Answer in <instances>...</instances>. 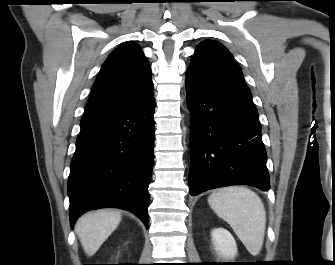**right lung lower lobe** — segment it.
<instances>
[{
    "label": "right lung lower lobe",
    "instance_id": "1",
    "mask_svg": "<svg viewBox=\"0 0 335 265\" xmlns=\"http://www.w3.org/2000/svg\"><path fill=\"white\" fill-rule=\"evenodd\" d=\"M154 98L83 115L70 165V222L84 212L116 207L135 213L148 228L153 166Z\"/></svg>",
    "mask_w": 335,
    "mask_h": 265
}]
</instances>
